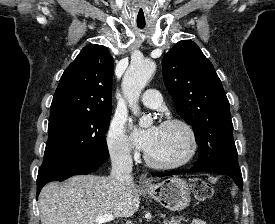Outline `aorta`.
Wrapping results in <instances>:
<instances>
[{
    "mask_svg": "<svg viewBox=\"0 0 275 224\" xmlns=\"http://www.w3.org/2000/svg\"><path fill=\"white\" fill-rule=\"evenodd\" d=\"M155 70L156 64L153 61L143 59L132 62L124 74L122 90L134 114H139V96ZM139 123L141 126H149L152 123V118L144 115L140 118Z\"/></svg>",
    "mask_w": 275,
    "mask_h": 224,
    "instance_id": "762f6f07",
    "label": "aorta"
}]
</instances>
